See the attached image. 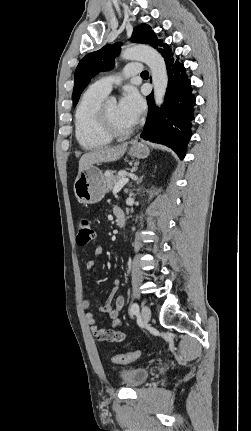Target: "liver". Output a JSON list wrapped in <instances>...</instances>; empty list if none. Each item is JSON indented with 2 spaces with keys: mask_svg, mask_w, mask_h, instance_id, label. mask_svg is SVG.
Returning <instances> with one entry per match:
<instances>
[{
  "mask_svg": "<svg viewBox=\"0 0 251 431\" xmlns=\"http://www.w3.org/2000/svg\"><path fill=\"white\" fill-rule=\"evenodd\" d=\"M127 146L128 143L126 142L115 147H104L85 153L79 160V174L89 165L120 159L125 154Z\"/></svg>",
  "mask_w": 251,
  "mask_h": 431,
  "instance_id": "obj_1",
  "label": "liver"
}]
</instances>
